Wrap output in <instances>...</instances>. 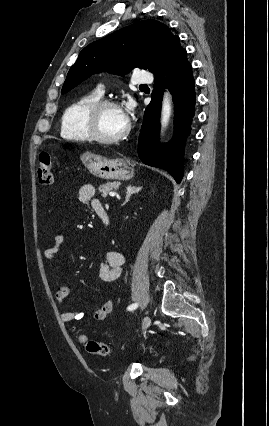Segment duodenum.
I'll return each mask as SVG.
<instances>
[{"mask_svg": "<svg viewBox=\"0 0 269 426\" xmlns=\"http://www.w3.org/2000/svg\"><path fill=\"white\" fill-rule=\"evenodd\" d=\"M95 211H96L99 219L101 220L102 224L105 227H108L109 224H110V220H109V216H108L106 210L103 207H99Z\"/></svg>", "mask_w": 269, "mask_h": 426, "instance_id": "410a0bca", "label": "duodenum"}]
</instances>
